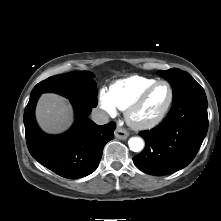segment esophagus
<instances>
[{
    "label": "esophagus",
    "mask_w": 221,
    "mask_h": 221,
    "mask_svg": "<svg viewBox=\"0 0 221 221\" xmlns=\"http://www.w3.org/2000/svg\"><path fill=\"white\" fill-rule=\"evenodd\" d=\"M114 134H115V137L120 140L127 139L128 135H129L125 129H123L119 126H117V128L115 129Z\"/></svg>",
    "instance_id": "1"
}]
</instances>
